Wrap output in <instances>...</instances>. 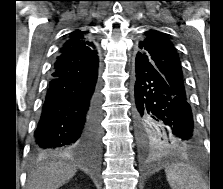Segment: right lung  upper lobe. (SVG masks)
Instances as JSON below:
<instances>
[{
    "instance_id": "right-lung-upper-lobe-1",
    "label": "right lung upper lobe",
    "mask_w": 223,
    "mask_h": 189,
    "mask_svg": "<svg viewBox=\"0 0 223 189\" xmlns=\"http://www.w3.org/2000/svg\"><path fill=\"white\" fill-rule=\"evenodd\" d=\"M87 34L81 30L70 34L54 63L52 78L83 76L98 68L97 51Z\"/></svg>"
}]
</instances>
